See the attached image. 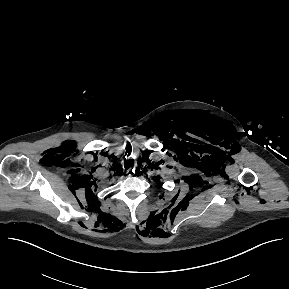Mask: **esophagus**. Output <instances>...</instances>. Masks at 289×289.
<instances>
[{"instance_id":"34e87169","label":"esophagus","mask_w":289,"mask_h":289,"mask_svg":"<svg viewBox=\"0 0 289 289\" xmlns=\"http://www.w3.org/2000/svg\"><path fill=\"white\" fill-rule=\"evenodd\" d=\"M132 172H134V169H132V170H128L129 176L132 175Z\"/></svg>"}]
</instances>
